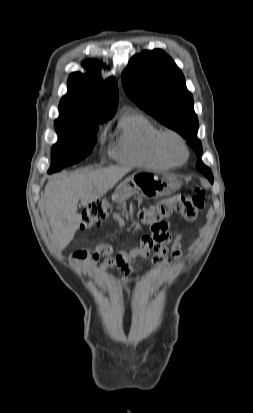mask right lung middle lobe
Listing matches in <instances>:
<instances>
[{
    "label": "right lung middle lobe",
    "instance_id": "right-lung-middle-lobe-1",
    "mask_svg": "<svg viewBox=\"0 0 253 413\" xmlns=\"http://www.w3.org/2000/svg\"><path fill=\"white\" fill-rule=\"evenodd\" d=\"M104 119H57L58 142L52 148L51 167L48 173L61 170L88 156L96 143L97 123Z\"/></svg>",
    "mask_w": 253,
    "mask_h": 413
}]
</instances>
